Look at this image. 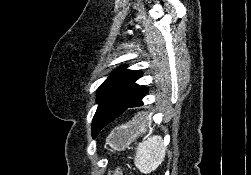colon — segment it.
<instances>
[{"instance_id": "colon-1", "label": "colon", "mask_w": 251, "mask_h": 175, "mask_svg": "<svg viewBox=\"0 0 251 175\" xmlns=\"http://www.w3.org/2000/svg\"><path fill=\"white\" fill-rule=\"evenodd\" d=\"M108 175H123V171L121 169H116L111 171Z\"/></svg>"}]
</instances>
